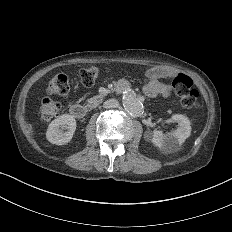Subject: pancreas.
<instances>
[{
  "label": "pancreas",
  "instance_id": "pancreas-1",
  "mask_svg": "<svg viewBox=\"0 0 232 232\" xmlns=\"http://www.w3.org/2000/svg\"><path fill=\"white\" fill-rule=\"evenodd\" d=\"M102 97H103V95L94 96L93 98H91L89 100L87 106L90 108H94V107L98 106L102 102V100H101Z\"/></svg>",
  "mask_w": 232,
  "mask_h": 232
}]
</instances>
